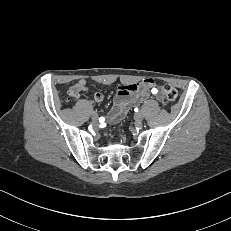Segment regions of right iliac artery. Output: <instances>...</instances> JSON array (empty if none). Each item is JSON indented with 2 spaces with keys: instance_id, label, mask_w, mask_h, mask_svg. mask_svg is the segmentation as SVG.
<instances>
[{
  "instance_id": "right-iliac-artery-1",
  "label": "right iliac artery",
  "mask_w": 231,
  "mask_h": 231,
  "mask_svg": "<svg viewBox=\"0 0 231 231\" xmlns=\"http://www.w3.org/2000/svg\"><path fill=\"white\" fill-rule=\"evenodd\" d=\"M99 121H100L101 123H103V122L105 121L104 117H100V118H99Z\"/></svg>"
}]
</instances>
